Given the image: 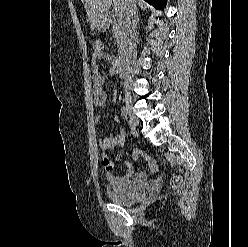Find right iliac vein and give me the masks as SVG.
<instances>
[{"instance_id": "right-iliac-vein-1", "label": "right iliac vein", "mask_w": 248, "mask_h": 247, "mask_svg": "<svg viewBox=\"0 0 248 247\" xmlns=\"http://www.w3.org/2000/svg\"><path fill=\"white\" fill-rule=\"evenodd\" d=\"M124 102H125L126 107H127L128 111H129V114H130V119H131L132 126L134 128H136L137 127V124H138V120L134 116V113H133L132 99L130 97H125L124 98Z\"/></svg>"}]
</instances>
